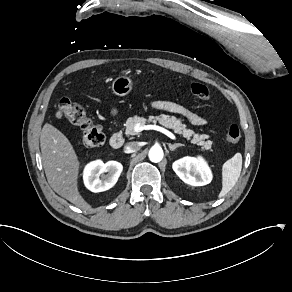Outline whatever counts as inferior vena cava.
Here are the masks:
<instances>
[{"mask_svg": "<svg viewBox=\"0 0 292 292\" xmlns=\"http://www.w3.org/2000/svg\"><path fill=\"white\" fill-rule=\"evenodd\" d=\"M139 149H140L139 143L135 141L127 143L124 147L125 153H133L138 151Z\"/></svg>", "mask_w": 292, "mask_h": 292, "instance_id": "inferior-vena-cava-1", "label": "inferior vena cava"}]
</instances>
